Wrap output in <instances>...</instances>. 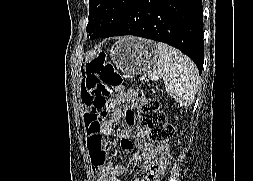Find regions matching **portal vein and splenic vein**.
<instances>
[{
  "label": "portal vein and splenic vein",
  "instance_id": "obj_1",
  "mask_svg": "<svg viewBox=\"0 0 253 181\" xmlns=\"http://www.w3.org/2000/svg\"><path fill=\"white\" fill-rule=\"evenodd\" d=\"M150 77H151V80H154V81L158 79V77L156 75H154V74L150 75Z\"/></svg>",
  "mask_w": 253,
  "mask_h": 181
}]
</instances>
